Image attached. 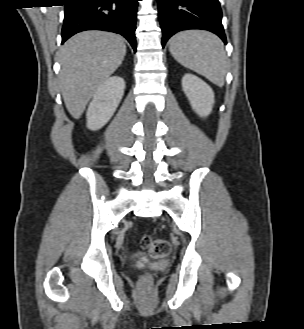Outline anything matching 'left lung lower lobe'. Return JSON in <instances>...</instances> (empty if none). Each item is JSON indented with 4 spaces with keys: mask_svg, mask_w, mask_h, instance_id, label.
I'll use <instances>...</instances> for the list:
<instances>
[{
    "mask_svg": "<svg viewBox=\"0 0 304 329\" xmlns=\"http://www.w3.org/2000/svg\"><path fill=\"white\" fill-rule=\"evenodd\" d=\"M158 13L163 47L172 35L187 29L211 31L227 43L218 0H158Z\"/></svg>",
    "mask_w": 304,
    "mask_h": 329,
    "instance_id": "0a47b994",
    "label": "left lung lower lobe"
}]
</instances>
